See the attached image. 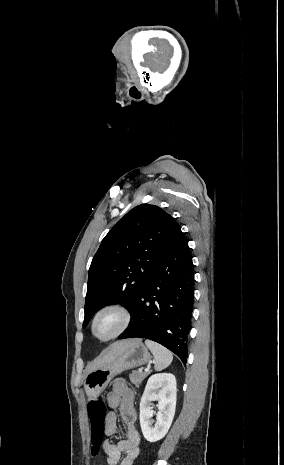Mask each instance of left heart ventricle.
I'll list each match as a JSON object with an SVG mask.
<instances>
[{
    "label": "left heart ventricle",
    "instance_id": "left-heart-ventricle-1",
    "mask_svg": "<svg viewBox=\"0 0 284 465\" xmlns=\"http://www.w3.org/2000/svg\"><path fill=\"white\" fill-rule=\"evenodd\" d=\"M120 325L119 317L112 312L102 314L95 325L94 334L97 337H107L113 334Z\"/></svg>",
    "mask_w": 284,
    "mask_h": 465
}]
</instances>
